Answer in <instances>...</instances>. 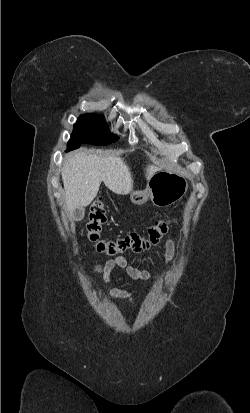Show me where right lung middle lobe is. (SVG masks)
<instances>
[{
    "label": "right lung middle lobe",
    "instance_id": "1",
    "mask_svg": "<svg viewBox=\"0 0 250 413\" xmlns=\"http://www.w3.org/2000/svg\"><path fill=\"white\" fill-rule=\"evenodd\" d=\"M118 137L108 131L105 121L96 115L80 116L74 126L67 151L79 148L82 143L107 145L115 142Z\"/></svg>",
    "mask_w": 250,
    "mask_h": 413
}]
</instances>
